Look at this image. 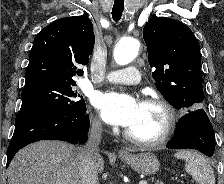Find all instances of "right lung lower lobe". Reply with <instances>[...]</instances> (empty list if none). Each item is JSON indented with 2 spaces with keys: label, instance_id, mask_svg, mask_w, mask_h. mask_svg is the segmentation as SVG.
<instances>
[{
  "label": "right lung lower lobe",
  "instance_id": "98d812e1",
  "mask_svg": "<svg viewBox=\"0 0 224 184\" xmlns=\"http://www.w3.org/2000/svg\"><path fill=\"white\" fill-rule=\"evenodd\" d=\"M89 125V116L86 111L74 116L45 113L24 120L15 125L13 137L8 147L6 167L16 152L39 140H61L72 144L85 143Z\"/></svg>",
  "mask_w": 224,
  "mask_h": 184
}]
</instances>
